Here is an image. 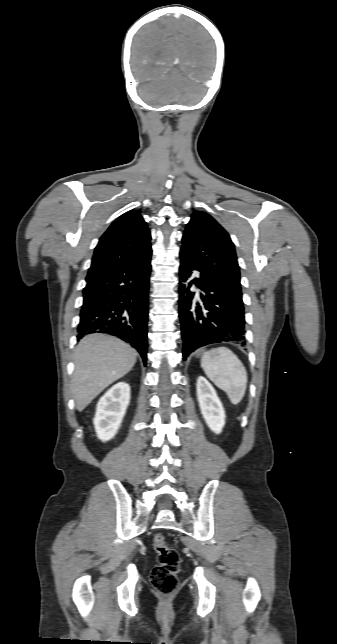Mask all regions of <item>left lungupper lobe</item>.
<instances>
[{
    "label": "left lung upper lobe",
    "mask_w": 337,
    "mask_h": 644,
    "mask_svg": "<svg viewBox=\"0 0 337 644\" xmlns=\"http://www.w3.org/2000/svg\"><path fill=\"white\" fill-rule=\"evenodd\" d=\"M180 257L191 261L242 300L234 244L225 229L209 214L195 211L191 215L182 237Z\"/></svg>",
    "instance_id": "obj_1"
}]
</instances>
